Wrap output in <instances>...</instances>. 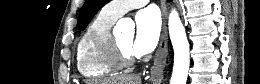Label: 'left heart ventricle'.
I'll use <instances>...</instances> for the list:
<instances>
[{
  "instance_id": "1",
  "label": "left heart ventricle",
  "mask_w": 260,
  "mask_h": 84,
  "mask_svg": "<svg viewBox=\"0 0 260 84\" xmlns=\"http://www.w3.org/2000/svg\"><path fill=\"white\" fill-rule=\"evenodd\" d=\"M116 40L118 41L119 45L126 51H132L133 48V36L130 35H122L119 37H116Z\"/></svg>"
}]
</instances>
